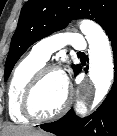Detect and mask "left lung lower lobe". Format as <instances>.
<instances>
[{
    "label": "left lung lower lobe",
    "mask_w": 117,
    "mask_h": 136,
    "mask_svg": "<svg viewBox=\"0 0 117 136\" xmlns=\"http://www.w3.org/2000/svg\"><path fill=\"white\" fill-rule=\"evenodd\" d=\"M114 53L115 80L107 98L90 116L79 118L71 109L65 116L40 127L57 136H117V15L104 29ZM81 71V67L75 75Z\"/></svg>",
    "instance_id": "obj_1"
}]
</instances>
